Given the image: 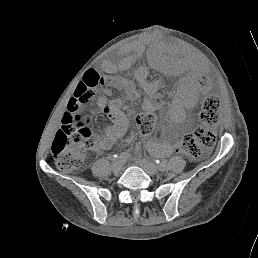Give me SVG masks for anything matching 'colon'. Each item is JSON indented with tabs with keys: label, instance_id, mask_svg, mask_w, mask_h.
Returning <instances> with one entry per match:
<instances>
[{
	"label": "colon",
	"instance_id": "5ec220e1",
	"mask_svg": "<svg viewBox=\"0 0 258 258\" xmlns=\"http://www.w3.org/2000/svg\"><path fill=\"white\" fill-rule=\"evenodd\" d=\"M101 74L95 70H88L84 75L83 83L79 84L74 97L68 103L67 112L62 118L60 130L56 133L51 152L57 167L62 171L79 169L89 151L99 145L98 131L90 121L80 112L82 105L91 97L93 88L99 85ZM219 99L208 96L204 99L201 120L204 126L186 135L175 146L177 152L191 158L202 156L206 149L212 147L216 141L214 127L218 123ZM156 124V116L152 112L141 114L137 119V128L140 133H150Z\"/></svg>",
	"mask_w": 258,
	"mask_h": 258
}]
</instances>
